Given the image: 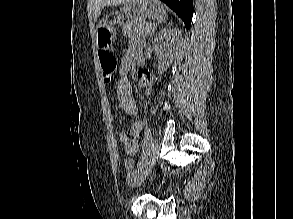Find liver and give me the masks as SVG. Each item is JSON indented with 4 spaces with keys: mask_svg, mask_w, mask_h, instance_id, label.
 <instances>
[{
    "mask_svg": "<svg viewBox=\"0 0 293 219\" xmlns=\"http://www.w3.org/2000/svg\"><path fill=\"white\" fill-rule=\"evenodd\" d=\"M137 0H93V17L94 19H97L101 11L104 7L106 6H111V5H119V4H124V3H131Z\"/></svg>",
    "mask_w": 293,
    "mask_h": 219,
    "instance_id": "6515ba94",
    "label": "liver"
}]
</instances>
